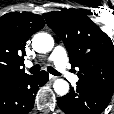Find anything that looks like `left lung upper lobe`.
<instances>
[{
	"instance_id": "1",
	"label": "left lung upper lobe",
	"mask_w": 114,
	"mask_h": 114,
	"mask_svg": "<svg viewBox=\"0 0 114 114\" xmlns=\"http://www.w3.org/2000/svg\"><path fill=\"white\" fill-rule=\"evenodd\" d=\"M62 38L79 81L114 90V46L111 39L84 13L62 10L43 15Z\"/></svg>"
}]
</instances>
